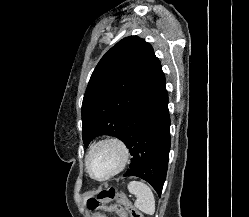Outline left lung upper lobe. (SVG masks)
Listing matches in <instances>:
<instances>
[{
  "instance_id": "5c2ea615",
  "label": "left lung upper lobe",
  "mask_w": 249,
  "mask_h": 217,
  "mask_svg": "<svg viewBox=\"0 0 249 217\" xmlns=\"http://www.w3.org/2000/svg\"><path fill=\"white\" fill-rule=\"evenodd\" d=\"M162 73L160 61L145 40L130 36L113 46L95 67L83 98L85 146L103 134L121 139L130 110Z\"/></svg>"
}]
</instances>
